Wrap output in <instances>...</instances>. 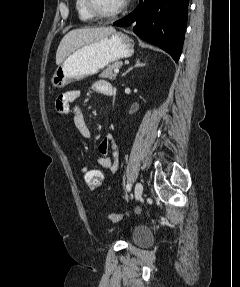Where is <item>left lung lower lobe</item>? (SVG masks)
Wrapping results in <instances>:
<instances>
[{
	"label": "left lung lower lobe",
	"mask_w": 240,
	"mask_h": 287,
	"mask_svg": "<svg viewBox=\"0 0 240 287\" xmlns=\"http://www.w3.org/2000/svg\"><path fill=\"white\" fill-rule=\"evenodd\" d=\"M189 0H140L136 9L116 21L129 26L141 39L159 46L178 62L184 42Z\"/></svg>",
	"instance_id": "left-lung-lower-lobe-1"
}]
</instances>
